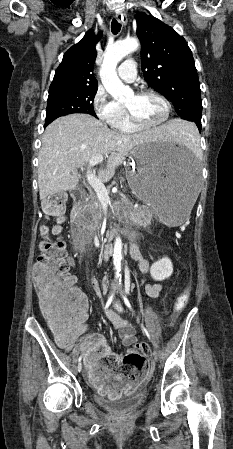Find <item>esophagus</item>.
I'll list each match as a JSON object with an SVG mask.
<instances>
[{
	"label": "esophagus",
	"instance_id": "obj_1",
	"mask_svg": "<svg viewBox=\"0 0 233 449\" xmlns=\"http://www.w3.org/2000/svg\"><path fill=\"white\" fill-rule=\"evenodd\" d=\"M115 17L119 23H122L124 26L127 25V17L125 14H122L121 12H116Z\"/></svg>",
	"mask_w": 233,
	"mask_h": 449
}]
</instances>
